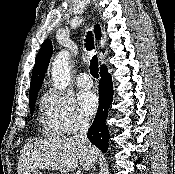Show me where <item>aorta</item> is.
<instances>
[{
  "label": "aorta",
  "mask_w": 175,
  "mask_h": 174,
  "mask_svg": "<svg viewBox=\"0 0 175 174\" xmlns=\"http://www.w3.org/2000/svg\"><path fill=\"white\" fill-rule=\"evenodd\" d=\"M69 53L63 50L58 53L52 64V80L54 87L65 90L70 83Z\"/></svg>",
  "instance_id": "1"
}]
</instances>
